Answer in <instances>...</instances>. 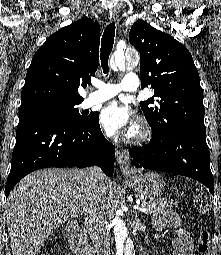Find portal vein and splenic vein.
Returning a JSON list of instances; mask_svg holds the SVG:
<instances>
[{
    "instance_id": "obj_1",
    "label": "portal vein and splenic vein",
    "mask_w": 221,
    "mask_h": 255,
    "mask_svg": "<svg viewBox=\"0 0 221 255\" xmlns=\"http://www.w3.org/2000/svg\"><path fill=\"white\" fill-rule=\"evenodd\" d=\"M139 204H140V201H137V202H136V205L134 206V208H135L136 210L141 211V212H147L148 209H147V208H144V207L141 208V207L139 206Z\"/></svg>"
}]
</instances>
